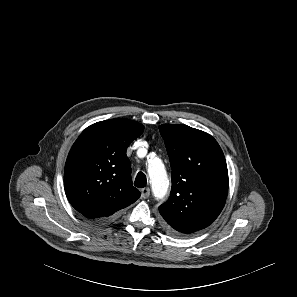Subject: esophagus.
<instances>
[{"label": "esophagus", "instance_id": "obj_1", "mask_svg": "<svg viewBox=\"0 0 297 297\" xmlns=\"http://www.w3.org/2000/svg\"><path fill=\"white\" fill-rule=\"evenodd\" d=\"M150 196V188L149 187H145L141 189V197L143 199H147Z\"/></svg>", "mask_w": 297, "mask_h": 297}]
</instances>
